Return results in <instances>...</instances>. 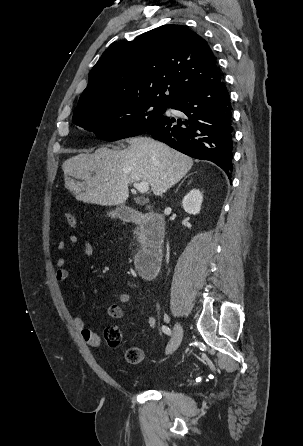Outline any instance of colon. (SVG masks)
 <instances>
[{
	"label": "colon",
	"mask_w": 303,
	"mask_h": 446,
	"mask_svg": "<svg viewBox=\"0 0 303 446\" xmlns=\"http://www.w3.org/2000/svg\"><path fill=\"white\" fill-rule=\"evenodd\" d=\"M66 220L71 228L77 227V219L72 212L66 213ZM104 339L111 348L119 347L122 343V333L117 326H108L104 330ZM144 354L141 348L132 346L125 352V359L130 364H139L143 360Z\"/></svg>",
	"instance_id": "colon-1"
}]
</instances>
